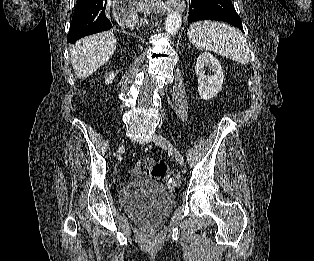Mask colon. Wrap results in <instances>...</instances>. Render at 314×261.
Wrapping results in <instances>:
<instances>
[{
	"instance_id": "5ec220e1",
	"label": "colon",
	"mask_w": 314,
	"mask_h": 261,
	"mask_svg": "<svg viewBox=\"0 0 314 261\" xmlns=\"http://www.w3.org/2000/svg\"><path fill=\"white\" fill-rule=\"evenodd\" d=\"M129 173L133 176H150L158 179H167L169 168L163 160L141 159L131 167Z\"/></svg>"
}]
</instances>
